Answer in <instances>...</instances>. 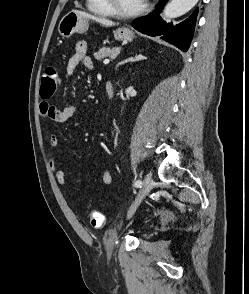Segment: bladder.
I'll use <instances>...</instances> for the list:
<instances>
[{
    "label": "bladder",
    "instance_id": "bladder-1",
    "mask_svg": "<svg viewBox=\"0 0 249 294\" xmlns=\"http://www.w3.org/2000/svg\"><path fill=\"white\" fill-rule=\"evenodd\" d=\"M117 237H118V233L115 230H109L105 234V239L106 240L114 241V240L117 239Z\"/></svg>",
    "mask_w": 249,
    "mask_h": 294
}]
</instances>
